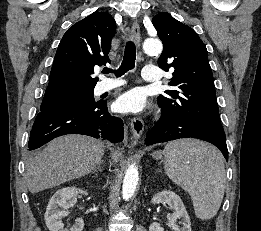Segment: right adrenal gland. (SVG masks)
<instances>
[{"label": "right adrenal gland", "instance_id": "1", "mask_svg": "<svg viewBox=\"0 0 261 231\" xmlns=\"http://www.w3.org/2000/svg\"><path fill=\"white\" fill-rule=\"evenodd\" d=\"M101 164H102V162H99L98 165H97V167H95V168L92 170V173L97 172V171L102 172V170H101Z\"/></svg>", "mask_w": 261, "mask_h": 231}]
</instances>
